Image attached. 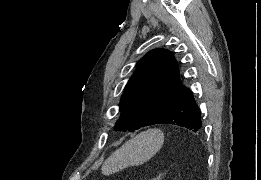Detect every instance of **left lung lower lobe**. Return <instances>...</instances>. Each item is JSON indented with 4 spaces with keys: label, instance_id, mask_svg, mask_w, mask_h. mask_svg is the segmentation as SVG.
Instances as JSON below:
<instances>
[{
    "label": "left lung lower lobe",
    "instance_id": "0a47b994",
    "mask_svg": "<svg viewBox=\"0 0 261 180\" xmlns=\"http://www.w3.org/2000/svg\"><path fill=\"white\" fill-rule=\"evenodd\" d=\"M153 124H174L199 130L202 126L201 112L192 91L184 87L172 103L157 116Z\"/></svg>",
    "mask_w": 261,
    "mask_h": 180
}]
</instances>
